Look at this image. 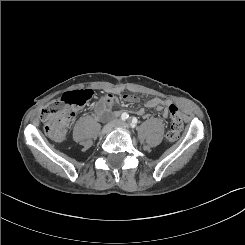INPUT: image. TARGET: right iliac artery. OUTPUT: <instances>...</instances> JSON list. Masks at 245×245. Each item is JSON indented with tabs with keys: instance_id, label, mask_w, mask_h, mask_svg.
Wrapping results in <instances>:
<instances>
[{
	"instance_id": "1",
	"label": "right iliac artery",
	"mask_w": 245,
	"mask_h": 245,
	"mask_svg": "<svg viewBox=\"0 0 245 245\" xmlns=\"http://www.w3.org/2000/svg\"><path fill=\"white\" fill-rule=\"evenodd\" d=\"M128 117H129L128 113L124 112V113H122V115H121V120H122V121H125V120L128 119Z\"/></svg>"
}]
</instances>
